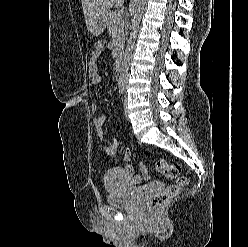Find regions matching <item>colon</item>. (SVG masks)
<instances>
[{"label":"colon","instance_id":"obj_1","mask_svg":"<svg viewBox=\"0 0 248 247\" xmlns=\"http://www.w3.org/2000/svg\"><path fill=\"white\" fill-rule=\"evenodd\" d=\"M99 46V42L95 44V47ZM156 170L159 173H162L167 178L173 180V183L170 184L162 193L155 196L150 201V207L153 210H159L162 207H164L167 203H169L171 200H173L183 189L188 185V177L182 174L181 168L178 165L175 164H168L165 160L159 159L156 161L155 164ZM140 170L142 173V176L144 178L149 177V171L145 164H140Z\"/></svg>","mask_w":248,"mask_h":247}]
</instances>
